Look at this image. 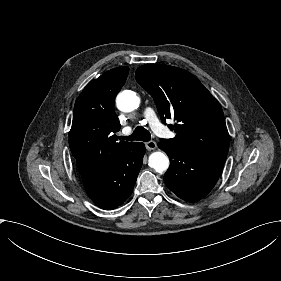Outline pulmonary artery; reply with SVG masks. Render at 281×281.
I'll list each match as a JSON object with an SVG mask.
<instances>
[{
	"label": "pulmonary artery",
	"instance_id": "1",
	"mask_svg": "<svg viewBox=\"0 0 281 281\" xmlns=\"http://www.w3.org/2000/svg\"><path fill=\"white\" fill-rule=\"evenodd\" d=\"M143 116L149 122L151 128L154 129L155 127L161 126V123H160L159 119L157 118L155 111L152 108H150V107L146 108L143 112ZM129 131H130L129 128H124L122 130V134H127Z\"/></svg>",
	"mask_w": 281,
	"mask_h": 281
}]
</instances>
